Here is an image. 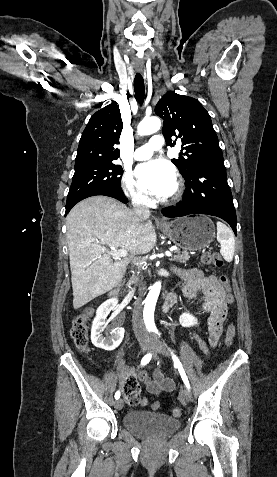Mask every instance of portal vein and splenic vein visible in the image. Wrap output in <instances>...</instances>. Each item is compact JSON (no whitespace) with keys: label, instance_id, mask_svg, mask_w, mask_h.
<instances>
[{"label":"portal vein and splenic vein","instance_id":"1","mask_svg":"<svg viewBox=\"0 0 277 477\" xmlns=\"http://www.w3.org/2000/svg\"><path fill=\"white\" fill-rule=\"evenodd\" d=\"M111 255H113L114 257H128L129 254H128V251L125 250V249H115V248H112L111 250ZM165 255L168 256V257H171L172 256V251H166L165 252Z\"/></svg>","mask_w":277,"mask_h":477}]
</instances>
